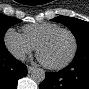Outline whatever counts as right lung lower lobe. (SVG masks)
<instances>
[{"instance_id":"98d812e1","label":"right lung lower lobe","mask_w":89,"mask_h":89,"mask_svg":"<svg viewBox=\"0 0 89 89\" xmlns=\"http://www.w3.org/2000/svg\"><path fill=\"white\" fill-rule=\"evenodd\" d=\"M27 75L26 66L6 49H0V89H15L17 81Z\"/></svg>"}]
</instances>
